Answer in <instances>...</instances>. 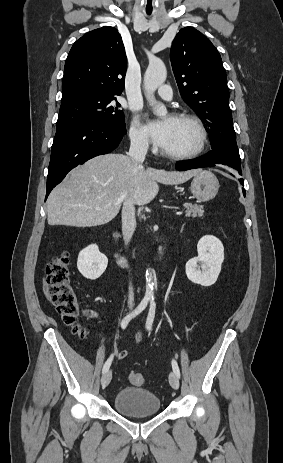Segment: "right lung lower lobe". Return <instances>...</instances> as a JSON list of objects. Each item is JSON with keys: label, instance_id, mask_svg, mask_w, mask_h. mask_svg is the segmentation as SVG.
Returning <instances> with one entry per match:
<instances>
[{"label": "right lung lower lobe", "instance_id": "98d812e1", "mask_svg": "<svg viewBox=\"0 0 283 463\" xmlns=\"http://www.w3.org/2000/svg\"><path fill=\"white\" fill-rule=\"evenodd\" d=\"M125 134L126 128L94 122L57 130L51 149L46 199L71 169L95 156L111 152Z\"/></svg>", "mask_w": 283, "mask_h": 463}]
</instances>
